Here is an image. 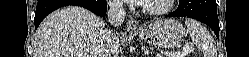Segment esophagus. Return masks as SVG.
<instances>
[{"label":"esophagus","instance_id":"esophagus-1","mask_svg":"<svg viewBox=\"0 0 249 57\" xmlns=\"http://www.w3.org/2000/svg\"><path fill=\"white\" fill-rule=\"evenodd\" d=\"M127 30L128 31H137V30H139L138 21L133 19V18L129 19V21L127 23Z\"/></svg>","mask_w":249,"mask_h":57}]
</instances>
